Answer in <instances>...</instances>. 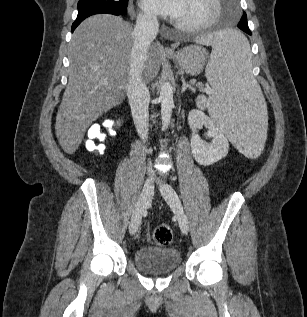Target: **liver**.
I'll return each instance as SVG.
<instances>
[{"label":"liver","mask_w":307,"mask_h":317,"mask_svg":"<svg viewBox=\"0 0 307 317\" xmlns=\"http://www.w3.org/2000/svg\"><path fill=\"white\" fill-rule=\"evenodd\" d=\"M133 31L129 23L109 14L89 17L74 31L68 54L69 80L55 123L66 153H74L92 122L124 99ZM159 70V46L150 45L143 82L153 80Z\"/></svg>","instance_id":"6515ba94"}]
</instances>
